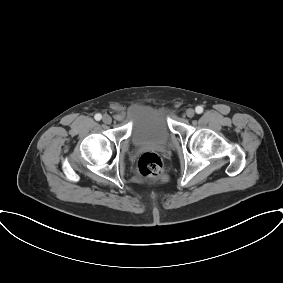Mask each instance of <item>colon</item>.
Listing matches in <instances>:
<instances>
[{"mask_svg":"<svg viewBox=\"0 0 283 283\" xmlns=\"http://www.w3.org/2000/svg\"><path fill=\"white\" fill-rule=\"evenodd\" d=\"M140 173L147 178H157L163 172L161 157L155 152H145L138 160Z\"/></svg>","mask_w":283,"mask_h":283,"instance_id":"colon-1","label":"colon"}]
</instances>
